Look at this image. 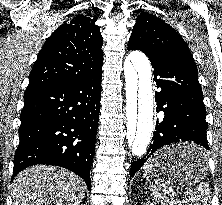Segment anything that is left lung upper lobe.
<instances>
[{
  "mask_svg": "<svg viewBox=\"0 0 222 205\" xmlns=\"http://www.w3.org/2000/svg\"><path fill=\"white\" fill-rule=\"evenodd\" d=\"M129 45L137 47L147 54L183 57L196 65L183 38L165 21L146 12L137 17Z\"/></svg>",
  "mask_w": 222,
  "mask_h": 205,
  "instance_id": "obj_1",
  "label": "left lung upper lobe"
}]
</instances>
